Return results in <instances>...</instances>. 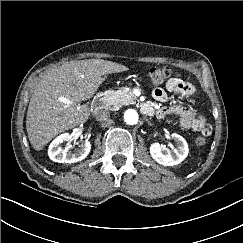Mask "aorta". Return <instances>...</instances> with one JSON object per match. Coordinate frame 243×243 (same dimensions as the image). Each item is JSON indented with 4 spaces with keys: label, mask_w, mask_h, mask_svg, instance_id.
<instances>
[{
    "label": "aorta",
    "mask_w": 243,
    "mask_h": 243,
    "mask_svg": "<svg viewBox=\"0 0 243 243\" xmlns=\"http://www.w3.org/2000/svg\"><path fill=\"white\" fill-rule=\"evenodd\" d=\"M138 113L134 109H128L124 113V121L128 125H135L138 123Z\"/></svg>",
    "instance_id": "1"
}]
</instances>
